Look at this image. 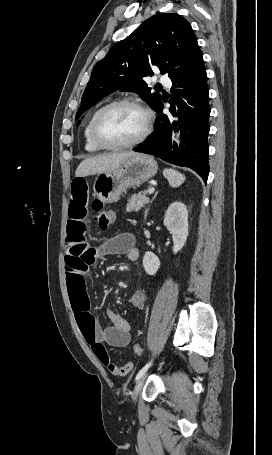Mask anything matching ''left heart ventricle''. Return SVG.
Returning a JSON list of instances; mask_svg holds the SVG:
<instances>
[{"label": "left heart ventricle", "instance_id": "b2bd125f", "mask_svg": "<svg viewBox=\"0 0 272 455\" xmlns=\"http://www.w3.org/2000/svg\"><path fill=\"white\" fill-rule=\"evenodd\" d=\"M144 127V116L135 107L115 106L107 110L98 122L101 139L109 144L127 143L137 138Z\"/></svg>", "mask_w": 272, "mask_h": 455}]
</instances>
